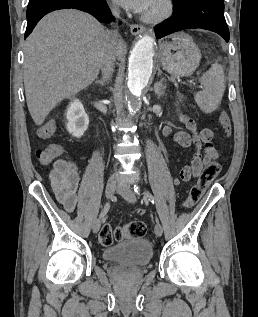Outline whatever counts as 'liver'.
<instances>
[{
    "mask_svg": "<svg viewBox=\"0 0 258 317\" xmlns=\"http://www.w3.org/2000/svg\"><path fill=\"white\" fill-rule=\"evenodd\" d=\"M108 32L94 16L75 8L54 10L39 20L24 44V86L35 124L97 78ZM124 46L119 40L118 52Z\"/></svg>",
    "mask_w": 258,
    "mask_h": 317,
    "instance_id": "1",
    "label": "liver"
}]
</instances>
